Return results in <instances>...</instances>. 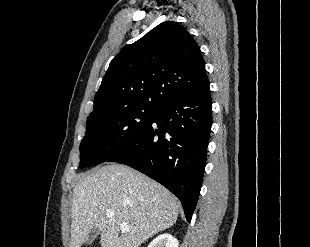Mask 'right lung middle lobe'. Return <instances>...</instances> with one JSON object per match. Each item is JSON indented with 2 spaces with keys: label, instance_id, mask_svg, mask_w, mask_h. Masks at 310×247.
I'll return each mask as SVG.
<instances>
[{
  "label": "right lung middle lobe",
  "instance_id": "dd1d6c3e",
  "mask_svg": "<svg viewBox=\"0 0 310 247\" xmlns=\"http://www.w3.org/2000/svg\"><path fill=\"white\" fill-rule=\"evenodd\" d=\"M156 110L127 108L87 120L86 134L80 144V167L108 161L131 145Z\"/></svg>",
  "mask_w": 310,
  "mask_h": 247
}]
</instances>
